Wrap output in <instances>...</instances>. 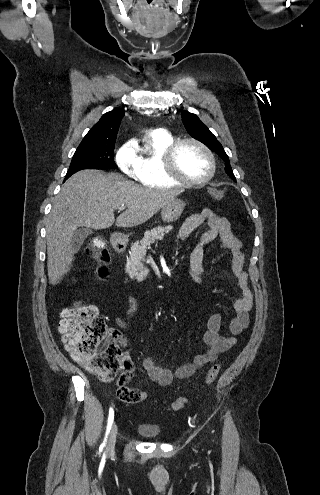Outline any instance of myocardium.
<instances>
[{
	"mask_svg": "<svg viewBox=\"0 0 320 495\" xmlns=\"http://www.w3.org/2000/svg\"><path fill=\"white\" fill-rule=\"evenodd\" d=\"M184 144H194L196 145L200 150L204 152L206 157L209 160L210 164V169L208 174L201 178V179H196V180H191L185 178L180 171L178 170L177 167V162H176V157L179 149L181 146ZM163 167L165 173L174 181L180 183L181 185L184 186H198V185H204L208 183L215 175L216 172V160L215 157L212 153V151L201 141L195 139V138H182L174 141L171 145H169L166 150L164 151L163 154Z\"/></svg>",
	"mask_w": 320,
	"mask_h": 495,
	"instance_id": "myocardium-1",
	"label": "myocardium"
}]
</instances>
